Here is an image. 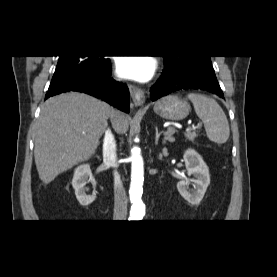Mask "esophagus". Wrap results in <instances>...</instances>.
<instances>
[{"label": "esophagus", "mask_w": 277, "mask_h": 277, "mask_svg": "<svg viewBox=\"0 0 277 277\" xmlns=\"http://www.w3.org/2000/svg\"><path fill=\"white\" fill-rule=\"evenodd\" d=\"M129 91L135 106H142L145 102L144 91L134 85H129Z\"/></svg>", "instance_id": "34e87169"}]
</instances>
